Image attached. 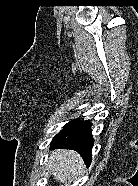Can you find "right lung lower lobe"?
I'll return each mask as SVG.
<instances>
[{"mask_svg": "<svg viewBox=\"0 0 138 186\" xmlns=\"http://www.w3.org/2000/svg\"><path fill=\"white\" fill-rule=\"evenodd\" d=\"M94 145L91 123L74 119L66 124L53 138L51 149L63 148L77 151L84 159L87 167L91 164V152Z\"/></svg>", "mask_w": 138, "mask_h": 186, "instance_id": "98d812e1", "label": "right lung lower lobe"}]
</instances>
